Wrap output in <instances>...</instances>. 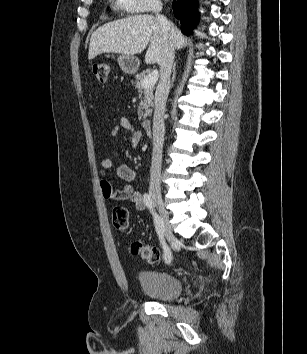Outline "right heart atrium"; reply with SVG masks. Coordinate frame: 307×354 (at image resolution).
<instances>
[{"label":"right heart atrium","mask_w":307,"mask_h":354,"mask_svg":"<svg viewBox=\"0 0 307 354\" xmlns=\"http://www.w3.org/2000/svg\"><path fill=\"white\" fill-rule=\"evenodd\" d=\"M122 10L129 13H144L158 10L161 6L160 0H116Z\"/></svg>","instance_id":"right-heart-atrium-1"}]
</instances>
